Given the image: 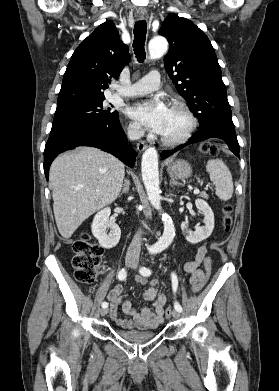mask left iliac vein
Returning <instances> with one entry per match:
<instances>
[{"instance_id": "obj_1", "label": "left iliac vein", "mask_w": 279, "mask_h": 391, "mask_svg": "<svg viewBox=\"0 0 279 391\" xmlns=\"http://www.w3.org/2000/svg\"><path fill=\"white\" fill-rule=\"evenodd\" d=\"M133 269H136L137 268V263H135L134 265L131 266ZM172 317L175 318V319H178L180 317V312L177 311V310H173L172 311Z\"/></svg>"}]
</instances>
